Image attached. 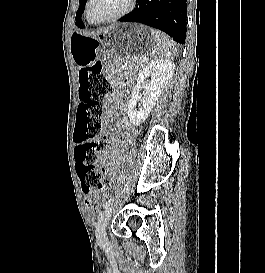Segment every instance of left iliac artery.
Listing matches in <instances>:
<instances>
[{
    "label": "left iliac artery",
    "instance_id": "44dca946",
    "mask_svg": "<svg viewBox=\"0 0 265 273\" xmlns=\"http://www.w3.org/2000/svg\"><path fill=\"white\" fill-rule=\"evenodd\" d=\"M113 202H114V197L108 199V200L105 202V204L103 205V208H104V209L109 208V207L113 204Z\"/></svg>",
    "mask_w": 265,
    "mask_h": 273
}]
</instances>
